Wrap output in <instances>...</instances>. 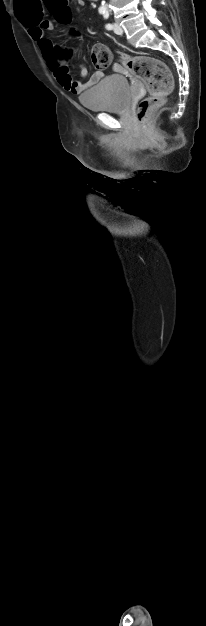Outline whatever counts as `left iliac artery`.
Here are the masks:
<instances>
[{"label": "left iliac artery", "mask_w": 206, "mask_h": 626, "mask_svg": "<svg viewBox=\"0 0 206 626\" xmlns=\"http://www.w3.org/2000/svg\"><path fill=\"white\" fill-rule=\"evenodd\" d=\"M103 17H104V19H108V17H109V13H108V12H103ZM105 28H106L107 30H111V29L113 28V25H112V24H110V23H107V24L105 25Z\"/></svg>", "instance_id": "44dca946"}]
</instances>
